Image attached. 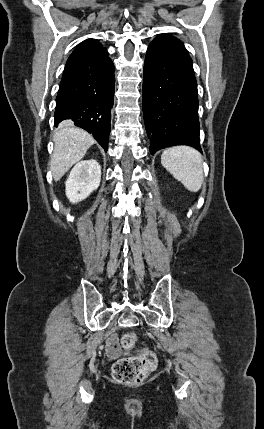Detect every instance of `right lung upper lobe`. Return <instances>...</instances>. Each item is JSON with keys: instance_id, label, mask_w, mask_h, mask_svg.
<instances>
[{"instance_id": "obj_1", "label": "right lung upper lobe", "mask_w": 264, "mask_h": 429, "mask_svg": "<svg viewBox=\"0 0 264 429\" xmlns=\"http://www.w3.org/2000/svg\"><path fill=\"white\" fill-rule=\"evenodd\" d=\"M105 48L96 39H87L80 43L67 60L65 70L92 57Z\"/></svg>"}]
</instances>
